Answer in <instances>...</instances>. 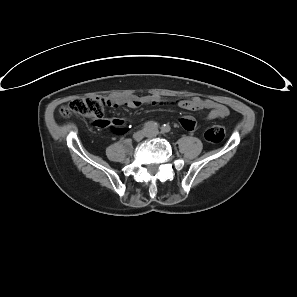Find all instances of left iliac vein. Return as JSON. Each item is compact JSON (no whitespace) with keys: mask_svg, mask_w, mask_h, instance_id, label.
Listing matches in <instances>:
<instances>
[{"mask_svg":"<svg viewBox=\"0 0 297 297\" xmlns=\"http://www.w3.org/2000/svg\"><path fill=\"white\" fill-rule=\"evenodd\" d=\"M155 132H156V130L148 131L147 136L151 137L152 135H154Z\"/></svg>","mask_w":297,"mask_h":297,"instance_id":"4c4485c4","label":"left iliac vein"}]
</instances>
